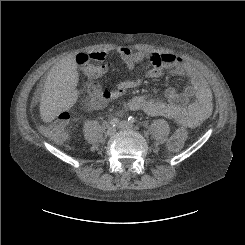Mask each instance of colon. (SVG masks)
I'll return each mask as SVG.
<instances>
[{
  "instance_id": "5ec220e1",
  "label": "colon",
  "mask_w": 245,
  "mask_h": 245,
  "mask_svg": "<svg viewBox=\"0 0 245 245\" xmlns=\"http://www.w3.org/2000/svg\"><path fill=\"white\" fill-rule=\"evenodd\" d=\"M75 57L77 62L82 65H86L89 61V57L83 54H77ZM92 87L97 92L100 90V86L97 83H92ZM104 92L109 93V90H105ZM69 118L70 114L67 111L61 112L51 124L44 128V134L55 142H62L68 136L67 132L65 131V127L69 121ZM187 137V129L184 126H181L169 137L167 143L168 149L172 152L180 151L183 148Z\"/></svg>"
}]
</instances>
